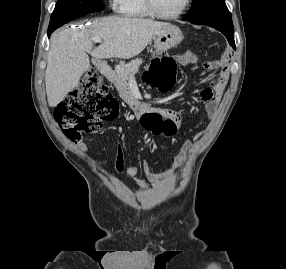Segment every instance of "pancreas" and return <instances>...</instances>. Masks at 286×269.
Listing matches in <instances>:
<instances>
[{"label": "pancreas", "instance_id": "1", "mask_svg": "<svg viewBox=\"0 0 286 269\" xmlns=\"http://www.w3.org/2000/svg\"><path fill=\"white\" fill-rule=\"evenodd\" d=\"M141 59H135L127 64H121L115 67L112 72L111 81L115 85L120 97L127 103L134 100V96L130 91L129 82L135 78V74L138 72Z\"/></svg>", "mask_w": 286, "mask_h": 269}]
</instances>
